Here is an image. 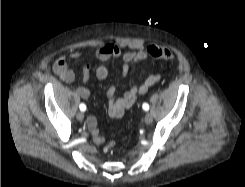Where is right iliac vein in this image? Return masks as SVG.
<instances>
[{"instance_id":"63e3f726","label":"right iliac vein","mask_w":245,"mask_h":187,"mask_svg":"<svg viewBox=\"0 0 245 187\" xmlns=\"http://www.w3.org/2000/svg\"><path fill=\"white\" fill-rule=\"evenodd\" d=\"M76 118L79 121H82L84 119V113L83 112H78L77 115H76Z\"/></svg>"}]
</instances>
